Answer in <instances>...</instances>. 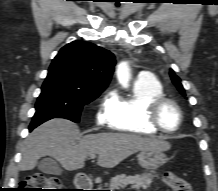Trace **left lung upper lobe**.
<instances>
[{"instance_id":"1","label":"left lung upper lobe","mask_w":218,"mask_h":191,"mask_svg":"<svg viewBox=\"0 0 218 191\" xmlns=\"http://www.w3.org/2000/svg\"><path fill=\"white\" fill-rule=\"evenodd\" d=\"M170 76L177 89L181 92L182 95H185L184 88L180 82V78L177 75H175L173 70L170 71Z\"/></svg>"}]
</instances>
